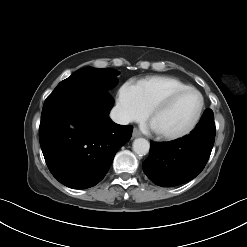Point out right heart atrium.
<instances>
[{
  "label": "right heart atrium",
  "mask_w": 247,
  "mask_h": 247,
  "mask_svg": "<svg viewBox=\"0 0 247 247\" xmlns=\"http://www.w3.org/2000/svg\"><path fill=\"white\" fill-rule=\"evenodd\" d=\"M117 110L125 121L142 119L147 110L143 106L138 91L134 85L124 84L118 91Z\"/></svg>",
  "instance_id": "d8ad5b80"
}]
</instances>
